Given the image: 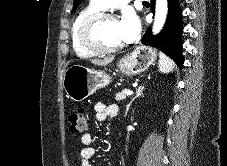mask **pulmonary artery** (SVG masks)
Listing matches in <instances>:
<instances>
[{"label": "pulmonary artery", "instance_id": "e3ab8cb5", "mask_svg": "<svg viewBox=\"0 0 227 166\" xmlns=\"http://www.w3.org/2000/svg\"><path fill=\"white\" fill-rule=\"evenodd\" d=\"M92 1L103 10L119 8L121 6L127 5L130 2V0H92Z\"/></svg>", "mask_w": 227, "mask_h": 166}]
</instances>
